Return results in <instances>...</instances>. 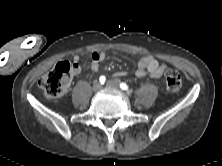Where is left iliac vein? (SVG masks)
<instances>
[{
  "mask_svg": "<svg viewBox=\"0 0 222 166\" xmlns=\"http://www.w3.org/2000/svg\"><path fill=\"white\" fill-rule=\"evenodd\" d=\"M106 86L114 89L119 88V82L117 80H108L106 82Z\"/></svg>",
  "mask_w": 222,
  "mask_h": 166,
  "instance_id": "1",
  "label": "left iliac vein"
}]
</instances>
